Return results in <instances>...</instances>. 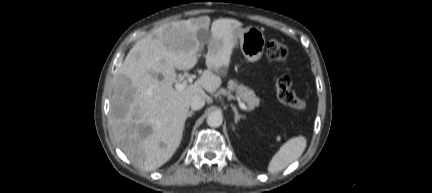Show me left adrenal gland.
Segmentation results:
<instances>
[{
	"mask_svg": "<svg viewBox=\"0 0 432 193\" xmlns=\"http://www.w3.org/2000/svg\"><path fill=\"white\" fill-rule=\"evenodd\" d=\"M232 109H233V111H234V121H235V124L237 125L238 122H239V120H240V119H243L244 116H243V115H240V114L238 113L237 108H236L235 106H232Z\"/></svg>",
	"mask_w": 432,
	"mask_h": 193,
	"instance_id": "a2214340",
	"label": "left adrenal gland"
}]
</instances>
